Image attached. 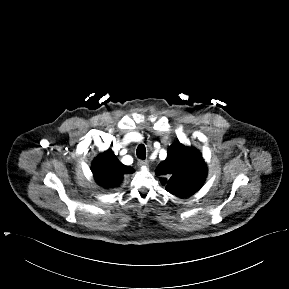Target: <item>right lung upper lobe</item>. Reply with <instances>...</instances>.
Segmentation results:
<instances>
[{"label":"right lung upper lobe","instance_id":"cb5924a9","mask_svg":"<svg viewBox=\"0 0 289 289\" xmlns=\"http://www.w3.org/2000/svg\"><path fill=\"white\" fill-rule=\"evenodd\" d=\"M92 172L99 184L113 187L122 181L124 174H130L134 169L123 165L112 151L107 150L94 160Z\"/></svg>","mask_w":289,"mask_h":289}]
</instances>
